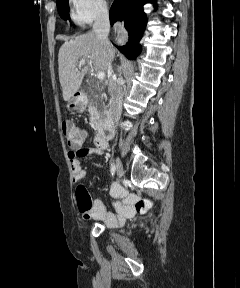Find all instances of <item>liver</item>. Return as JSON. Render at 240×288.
<instances>
[{"label":"liver","instance_id":"1","mask_svg":"<svg viewBox=\"0 0 240 288\" xmlns=\"http://www.w3.org/2000/svg\"><path fill=\"white\" fill-rule=\"evenodd\" d=\"M109 55L113 60L115 56L113 46L109 50ZM81 60H85L87 65L79 67ZM107 60L108 53L93 32L66 41L60 47L58 54L59 80L63 99L70 101L78 92L90 66L96 72H105L107 70Z\"/></svg>","mask_w":240,"mask_h":288}]
</instances>
